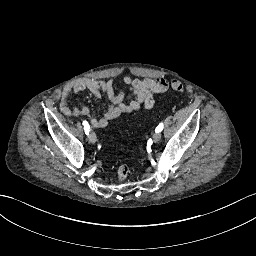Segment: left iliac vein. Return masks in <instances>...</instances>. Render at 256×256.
Returning <instances> with one entry per match:
<instances>
[{"mask_svg": "<svg viewBox=\"0 0 256 256\" xmlns=\"http://www.w3.org/2000/svg\"><path fill=\"white\" fill-rule=\"evenodd\" d=\"M161 139V134L159 132L154 133L153 140L154 142H158Z\"/></svg>", "mask_w": 256, "mask_h": 256, "instance_id": "4c4485c4", "label": "left iliac vein"}]
</instances>
